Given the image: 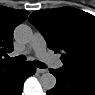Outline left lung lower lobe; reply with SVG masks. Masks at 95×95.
I'll return each instance as SVG.
<instances>
[{"label": "left lung lower lobe", "mask_w": 95, "mask_h": 95, "mask_svg": "<svg viewBox=\"0 0 95 95\" xmlns=\"http://www.w3.org/2000/svg\"><path fill=\"white\" fill-rule=\"evenodd\" d=\"M56 77V85L47 95H95V77L63 70L49 69Z\"/></svg>", "instance_id": "obj_1"}]
</instances>
